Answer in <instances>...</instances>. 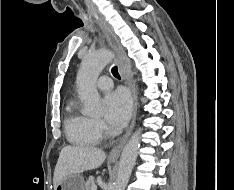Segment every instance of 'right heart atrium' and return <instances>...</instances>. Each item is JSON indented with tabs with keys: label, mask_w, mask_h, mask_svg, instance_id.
Masks as SVG:
<instances>
[{
	"label": "right heart atrium",
	"mask_w": 234,
	"mask_h": 190,
	"mask_svg": "<svg viewBox=\"0 0 234 190\" xmlns=\"http://www.w3.org/2000/svg\"><path fill=\"white\" fill-rule=\"evenodd\" d=\"M94 124L100 134L105 133L106 125L101 120H94Z\"/></svg>",
	"instance_id": "right-heart-atrium-1"
}]
</instances>
